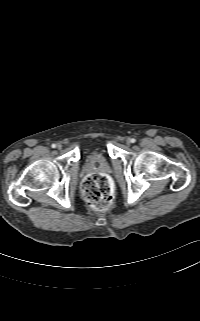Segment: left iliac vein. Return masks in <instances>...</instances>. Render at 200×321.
<instances>
[{
  "label": "left iliac vein",
  "instance_id": "1",
  "mask_svg": "<svg viewBox=\"0 0 200 321\" xmlns=\"http://www.w3.org/2000/svg\"><path fill=\"white\" fill-rule=\"evenodd\" d=\"M126 142H127L128 145L132 143L130 138H128V139L126 140Z\"/></svg>",
  "mask_w": 200,
  "mask_h": 321
}]
</instances>
